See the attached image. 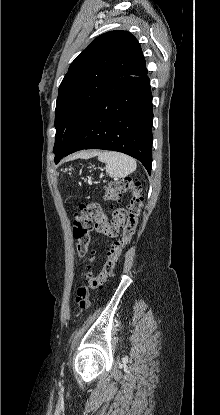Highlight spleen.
I'll return each instance as SVG.
<instances>
[{"label":"spleen","mask_w":220,"mask_h":415,"mask_svg":"<svg viewBox=\"0 0 220 415\" xmlns=\"http://www.w3.org/2000/svg\"><path fill=\"white\" fill-rule=\"evenodd\" d=\"M98 160L106 164V172L112 178H123L136 170L135 159L123 153L104 151L97 153Z\"/></svg>","instance_id":"spleen-1"}]
</instances>
